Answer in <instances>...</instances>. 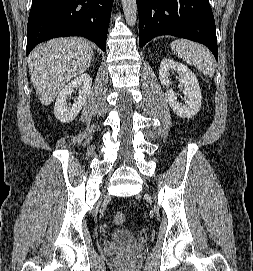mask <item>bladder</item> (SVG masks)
<instances>
[{
    "mask_svg": "<svg viewBox=\"0 0 253 271\" xmlns=\"http://www.w3.org/2000/svg\"><path fill=\"white\" fill-rule=\"evenodd\" d=\"M113 238L118 241H132L134 234L129 228H120L114 232Z\"/></svg>",
    "mask_w": 253,
    "mask_h": 271,
    "instance_id": "1",
    "label": "bladder"
}]
</instances>
